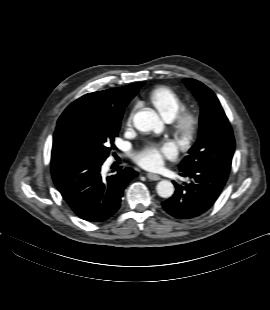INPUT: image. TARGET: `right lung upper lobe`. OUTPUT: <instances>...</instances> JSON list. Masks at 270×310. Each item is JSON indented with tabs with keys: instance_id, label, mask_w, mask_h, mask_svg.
Wrapping results in <instances>:
<instances>
[{
	"instance_id": "cb5924a9",
	"label": "right lung upper lobe",
	"mask_w": 270,
	"mask_h": 310,
	"mask_svg": "<svg viewBox=\"0 0 270 310\" xmlns=\"http://www.w3.org/2000/svg\"><path fill=\"white\" fill-rule=\"evenodd\" d=\"M138 82L120 88H112L104 91L89 93L76 101H92L98 105L104 112L108 113L112 118L120 120L122 118L124 108L129 101L136 95L138 89L143 85ZM55 135V134H54ZM63 158L56 153L53 142L52 160Z\"/></svg>"
}]
</instances>
